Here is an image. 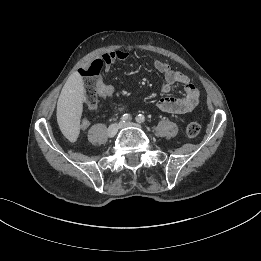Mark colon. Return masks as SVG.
<instances>
[{
  "mask_svg": "<svg viewBox=\"0 0 261 261\" xmlns=\"http://www.w3.org/2000/svg\"><path fill=\"white\" fill-rule=\"evenodd\" d=\"M103 68V63L100 60H95L88 69L83 71L85 77V97L84 104L87 110L95 109L100 96V80L99 73ZM201 127L197 122H190L186 127V133L190 138L198 136Z\"/></svg>",
  "mask_w": 261,
  "mask_h": 261,
  "instance_id": "1",
  "label": "colon"
}]
</instances>
